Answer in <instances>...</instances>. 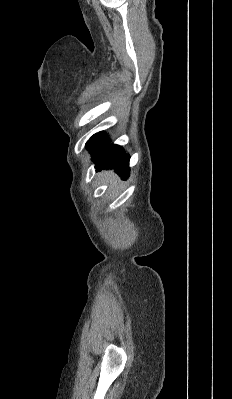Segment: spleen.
I'll use <instances>...</instances> for the list:
<instances>
[{"label": "spleen", "mask_w": 232, "mask_h": 399, "mask_svg": "<svg viewBox=\"0 0 232 399\" xmlns=\"http://www.w3.org/2000/svg\"><path fill=\"white\" fill-rule=\"evenodd\" d=\"M100 178L103 184H110L109 190H119L118 178L113 172H102Z\"/></svg>", "instance_id": "spleen-1"}]
</instances>
